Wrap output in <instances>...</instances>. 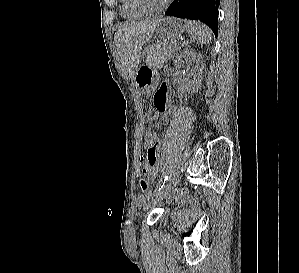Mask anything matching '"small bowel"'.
<instances>
[{"label": "small bowel", "instance_id": "obj_1", "mask_svg": "<svg viewBox=\"0 0 299 273\" xmlns=\"http://www.w3.org/2000/svg\"><path fill=\"white\" fill-rule=\"evenodd\" d=\"M154 105L156 111L160 114H166L171 110V101L169 99L166 86H162L155 94ZM145 147L146 154L142 172L149 180L155 181L158 175V140L153 144L145 145ZM143 200L144 197L139 196V202L142 203Z\"/></svg>", "mask_w": 299, "mask_h": 273}]
</instances>
